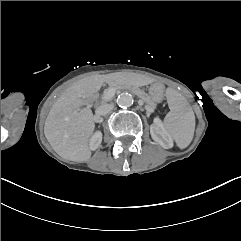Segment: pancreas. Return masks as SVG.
<instances>
[{
    "label": "pancreas",
    "mask_w": 241,
    "mask_h": 241,
    "mask_svg": "<svg viewBox=\"0 0 241 241\" xmlns=\"http://www.w3.org/2000/svg\"><path fill=\"white\" fill-rule=\"evenodd\" d=\"M127 91L136 92L137 97L142 99L143 103H145L147 105L148 110H150V111L155 110L156 105L154 103V100H153V98L148 96L147 92H145L142 89L137 90V87H132V86H127ZM106 92H107V90L104 92V94L102 96L103 103L109 102L113 99V97L107 96Z\"/></svg>",
    "instance_id": "cf45deb5"
}]
</instances>
